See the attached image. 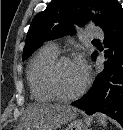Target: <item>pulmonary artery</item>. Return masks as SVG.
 Wrapping results in <instances>:
<instances>
[{
    "mask_svg": "<svg viewBox=\"0 0 123 130\" xmlns=\"http://www.w3.org/2000/svg\"><path fill=\"white\" fill-rule=\"evenodd\" d=\"M87 36L92 39H98V38H102L104 36V33H103L102 29L99 27L89 26L87 28ZM49 45L52 46L56 50L59 49L58 44L55 42H50Z\"/></svg>",
    "mask_w": 123,
    "mask_h": 130,
    "instance_id": "e3ab8cb5",
    "label": "pulmonary artery"
}]
</instances>
